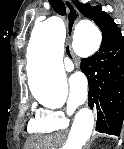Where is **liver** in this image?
<instances>
[{"instance_id":"6515ba94","label":"liver","mask_w":124,"mask_h":149,"mask_svg":"<svg viewBox=\"0 0 124 149\" xmlns=\"http://www.w3.org/2000/svg\"><path fill=\"white\" fill-rule=\"evenodd\" d=\"M51 137H32L27 141L25 149H50Z\"/></svg>"}]
</instances>
